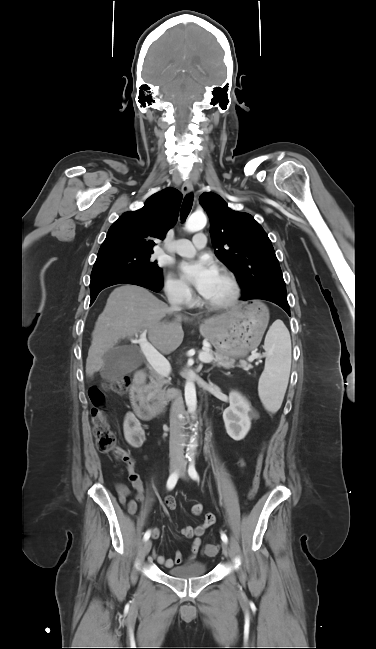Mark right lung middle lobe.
<instances>
[{"instance_id":"dd1d6c3e","label":"right lung middle lobe","mask_w":376,"mask_h":649,"mask_svg":"<svg viewBox=\"0 0 376 649\" xmlns=\"http://www.w3.org/2000/svg\"><path fill=\"white\" fill-rule=\"evenodd\" d=\"M153 251H117L97 255L91 277L110 271L144 273L162 276V269L150 259Z\"/></svg>"}]
</instances>
